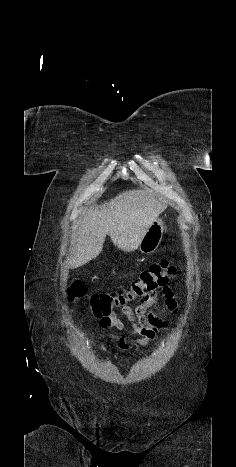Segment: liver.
<instances>
[{
	"label": "liver",
	"mask_w": 236,
	"mask_h": 467,
	"mask_svg": "<svg viewBox=\"0 0 236 467\" xmlns=\"http://www.w3.org/2000/svg\"><path fill=\"white\" fill-rule=\"evenodd\" d=\"M166 207L142 190L125 191L109 202L95 205L74 229L67 268H78L96 258L107 235L120 250H136L147 229Z\"/></svg>",
	"instance_id": "6515ba94"
}]
</instances>
